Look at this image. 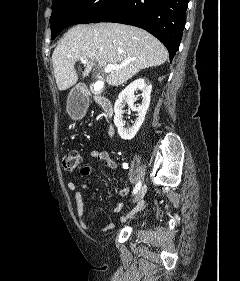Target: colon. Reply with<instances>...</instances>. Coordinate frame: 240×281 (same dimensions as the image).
<instances>
[{
	"label": "colon",
	"mask_w": 240,
	"mask_h": 281,
	"mask_svg": "<svg viewBox=\"0 0 240 281\" xmlns=\"http://www.w3.org/2000/svg\"><path fill=\"white\" fill-rule=\"evenodd\" d=\"M62 165L65 170L72 171L82 165V157L78 150L69 149L63 156Z\"/></svg>",
	"instance_id": "1"
}]
</instances>
